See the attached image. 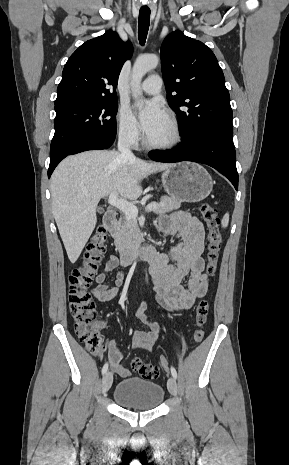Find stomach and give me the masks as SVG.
<instances>
[{
  "label": "stomach",
  "instance_id": "stomach-1",
  "mask_svg": "<svg viewBox=\"0 0 289 465\" xmlns=\"http://www.w3.org/2000/svg\"><path fill=\"white\" fill-rule=\"evenodd\" d=\"M161 182L166 193L179 202H199L213 189V180L207 170L192 162L176 163L165 169Z\"/></svg>",
  "mask_w": 289,
  "mask_h": 465
}]
</instances>
